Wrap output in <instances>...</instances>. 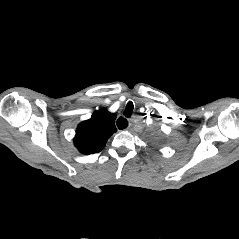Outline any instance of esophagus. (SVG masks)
<instances>
[{
  "label": "esophagus",
  "mask_w": 239,
  "mask_h": 239,
  "mask_svg": "<svg viewBox=\"0 0 239 239\" xmlns=\"http://www.w3.org/2000/svg\"><path fill=\"white\" fill-rule=\"evenodd\" d=\"M128 125V122L125 118L123 117H119L118 120H117V127L122 130L124 128H126Z\"/></svg>",
  "instance_id": "1"
}]
</instances>
